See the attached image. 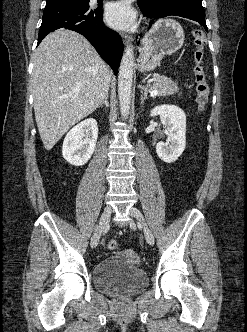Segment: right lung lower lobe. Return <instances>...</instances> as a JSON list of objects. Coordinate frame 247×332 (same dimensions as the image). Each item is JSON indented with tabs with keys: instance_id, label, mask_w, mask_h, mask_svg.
I'll list each match as a JSON object with an SVG mask.
<instances>
[{
	"instance_id": "98d812e1",
	"label": "right lung lower lobe",
	"mask_w": 247,
	"mask_h": 332,
	"mask_svg": "<svg viewBox=\"0 0 247 332\" xmlns=\"http://www.w3.org/2000/svg\"><path fill=\"white\" fill-rule=\"evenodd\" d=\"M102 17L101 8L91 9L89 6L67 3L45 6L38 45L54 30L76 31L88 39L116 74L124 49L123 42L117 32L104 25Z\"/></svg>"
}]
</instances>
